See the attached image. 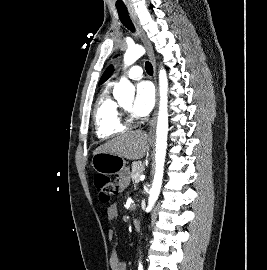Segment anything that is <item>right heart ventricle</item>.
Returning <instances> with one entry per match:
<instances>
[{
  "instance_id": "obj_1",
  "label": "right heart ventricle",
  "mask_w": 267,
  "mask_h": 270,
  "mask_svg": "<svg viewBox=\"0 0 267 270\" xmlns=\"http://www.w3.org/2000/svg\"><path fill=\"white\" fill-rule=\"evenodd\" d=\"M108 84L99 94L94 109L95 132L99 139L105 140L127 130L122 122L120 105L111 96Z\"/></svg>"
}]
</instances>
